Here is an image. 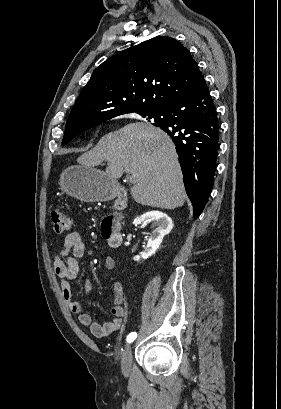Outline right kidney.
<instances>
[{"instance_id":"ca27d5eb","label":"right kidney","mask_w":281,"mask_h":409,"mask_svg":"<svg viewBox=\"0 0 281 409\" xmlns=\"http://www.w3.org/2000/svg\"><path fill=\"white\" fill-rule=\"evenodd\" d=\"M151 221H156L157 229L153 231L150 239H148L147 247L145 251L134 257V261H139V259H148L151 255H154L155 251L159 249L163 241V237L168 235L173 229L172 219L166 215V213H161V211H147L144 215L136 217L133 221V225H143V223H151Z\"/></svg>"}]
</instances>
